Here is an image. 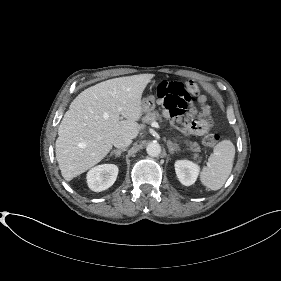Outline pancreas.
Listing matches in <instances>:
<instances>
[{
	"label": "pancreas",
	"instance_id": "cf45deb5",
	"mask_svg": "<svg viewBox=\"0 0 281 281\" xmlns=\"http://www.w3.org/2000/svg\"><path fill=\"white\" fill-rule=\"evenodd\" d=\"M142 120L144 123H147V124L152 123L154 121L155 122L163 121L162 117L158 111H150V112L146 113V115L142 118ZM186 144L189 147L188 150L194 152L193 158L200 160V155L198 153V152H200V146L198 145V143L192 142V141H187Z\"/></svg>",
	"mask_w": 281,
	"mask_h": 281
}]
</instances>
